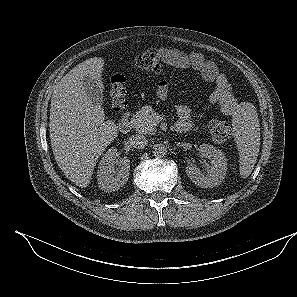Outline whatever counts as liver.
I'll list each match as a JSON object with an SVG mask.
<instances>
[{
	"label": "liver",
	"instance_id": "liver-1",
	"mask_svg": "<svg viewBox=\"0 0 297 297\" xmlns=\"http://www.w3.org/2000/svg\"><path fill=\"white\" fill-rule=\"evenodd\" d=\"M103 69V58L85 60L60 80L51 97L52 151L64 175L81 188L88 186L98 158L117 137L116 125L104 121L103 109L87 97L83 86L89 76L104 89Z\"/></svg>",
	"mask_w": 297,
	"mask_h": 297
}]
</instances>
